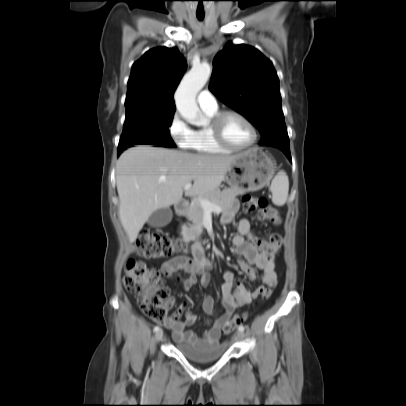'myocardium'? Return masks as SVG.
<instances>
[{"instance_id": "myocardium-1", "label": "myocardium", "mask_w": 406, "mask_h": 406, "mask_svg": "<svg viewBox=\"0 0 406 406\" xmlns=\"http://www.w3.org/2000/svg\"><path fill=\"white\" fill-rule=\"evenodd\" d=\"M228 116H236L240 120H242L251 130L252 132V139L251 141L245 146H234L230 144L224 137L223 133V123L226 117ZM210 130L212 132L213 138L217 144L221 147L231 150V151H243L253 147L257 140H258V132L255 125L251 122V120L236 110H224L218 112L214 117L210 119L209 123Z\"/></svg>"}]
</instances>
